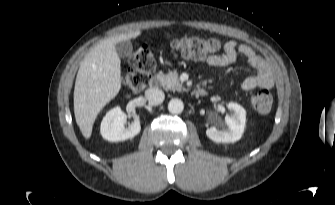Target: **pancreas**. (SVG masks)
Listing matches in <instances>:
<instances>
[{"mask_svg": "<svg viewBox=\"0 0 335 205\" xmlns=\"http://www.w3.org/2000/svg\"><path fill=\"white\" fill-rule=\"evenodd\" d=\"M160 79L165 89L180 90L182 87L177 73H168L166 75L161 74Z\"/></svg>", "mask_w": 335, "mask_h": 205, "instance_id": "obj_1", "label": "pancreas"}]
</instances>
